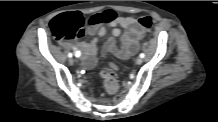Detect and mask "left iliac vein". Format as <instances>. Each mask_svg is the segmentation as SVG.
<instances>
[{
	"label": "left iliac vein",
	"instance_id": "obj_1",
	"mask_svg": "<svg viewBox=\"0 0 218 122\" xmlns=\"http://www.w3.org/2000/svg\"><path fill=\"white\" fill-rule=\"evenodd\" d=\"M142 62H143V60H142L141 57H139V58L136 59V64H137V65L142 64Z\"/></svg>",
	"mask_w": 218,
	"mask_h": 122
}]
</instances>
